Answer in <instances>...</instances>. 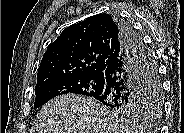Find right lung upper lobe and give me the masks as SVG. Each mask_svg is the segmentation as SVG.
I'll return each instance as SVG.
<instances>
[{"mask_svg": "<svg viewBox=\"0 0 184 133\" xmlns=\"http://www.w3.org/2000/svg\"><path fill=\"white\" fill-rule=\"evenodd\" d=\"M120 37L116 18L105 13L65 28L41 60L36 89L64 77L103 75Z\"/></svg>", "mask_w": 184, "mask_h": 133, "instance_id": "obj_1", "label": "right lung upper lobe"}]
</instances>
